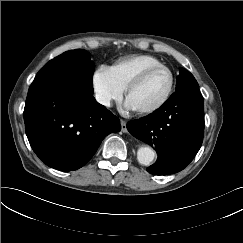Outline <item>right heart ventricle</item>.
I'll list each match as a JSON object with an SVG mask.
<instances>
[{"mask_svg":"<svg viewBox=\"0 0 243 243\" xmlns=\"http://www.w3.org/2000/svg\"><path fill=\"white\" fill-rule=\"evenodd\" d=\"M161 64L149 55H135L121 58L109 67L113 80L121 90H125L129 82L142 70Z\"/></svg>","mask_w":243,"mask_h":243,"instance_id":"obj_1","label":"right heart ventricle"}]
</instances>
